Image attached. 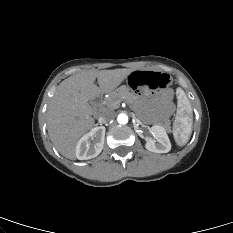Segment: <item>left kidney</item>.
<instances>
[{
  "instance_id": "left-kidney-1",
  "label": "left kidney",
  "mask_w": 233,
  "mask_h": 233,
  "mask_svg": "<svg viewBox=\"0 0 233 233\" xmlns=\"http://www.w3.org/2000/svg\"><path fill=\"white\" fill-rule=\"evenodd\" d=\"M150 131L156 137V140L145 137L146 149L154 153L169 152L171 150V143L165 128L160 125H154L151 127Z\"/></svg>"
}]
</instances>
